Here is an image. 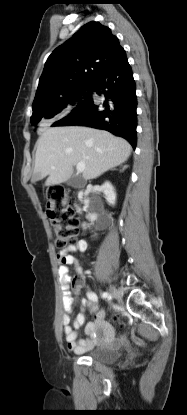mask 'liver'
<instances>
[{
    "label": "liver",
    "mask_w": 187,
    "mask_h": 415,
    "mask_svg": "<svg viewBox=\"0 0 187 415\" xmlns=\"http://www.w3.org/2000/svg\"><path fill=\"white\" fill-rule=\"evenodd\" d=\"M35 167L31 182L48 176L46 186L67 181L73 166L84 162L83 177L94 179L124 163L131 145L123 138L103 130L87 127H53L38 138Z\"/></svg>",
    "instance_id": "obj_1"
}]
</instances>
